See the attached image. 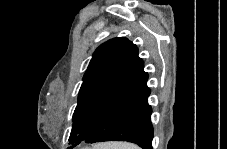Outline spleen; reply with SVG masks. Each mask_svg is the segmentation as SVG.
Segmentation results:
<instances>
[{
  "label": "spleen",
  "mask_w": 227,
  "mask_h": 149,
  "mask_svg": "<svg viewBox=\"0 0 227 149\" xmlns=\"http://www.w3.org/2000/svg\"><path fill=\"white\" fill-rule=\"evenodd\" d=\"M100 149H139L130 143H106L99 146Z\"/></svg>",
  "instance_id": "1"
}]
</instances>
